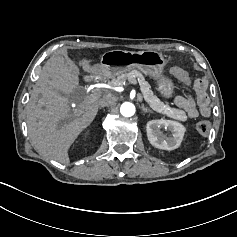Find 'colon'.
Segmentation results:
<instances>
[{
  "mask_svg": "<svg viewBox=\"0 0 237 237\" xmlns=\"http://www.w3.org/2000/svg\"><path fill=\"white\" fill-rule=\"evenodd\" d=\"M173 74L185 84H190V77L186 70L176 67L173 69ZM210 123L202 120L196 123V130L201 135H207L210 131Z\"/></svg>",
  "mask_w": 237,
  "mask_h": 237,
  "instance_id": "1",
  "label": "colon"
}]
</instances>
